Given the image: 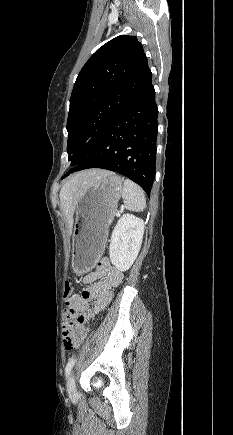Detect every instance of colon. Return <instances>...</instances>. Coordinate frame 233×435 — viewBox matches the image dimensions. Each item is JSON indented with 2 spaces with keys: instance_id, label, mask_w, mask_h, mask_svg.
Masks as SVG:
<instances>
[{
  "instance_id": "obj_1",
  "label": "colon",
  "mask_w": 233,
  "mask_h": 435,
  "mask_svg": "<svg viewBox=\"0 0 233 435\" xmlns=\"http://www.w3.org/2000/svg\"><path fill=\"white\" fill-rule=\"evenodd\" d=\"M73 293V285L69 280L64 282V296L67 298ZM78 319H81L80 317ZM72 324H68L64 327L63 342L66 349L71 350L77 346L75 337L72 334Z\"/></svg>"
}]
</instances>
